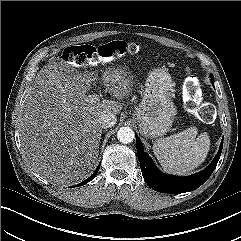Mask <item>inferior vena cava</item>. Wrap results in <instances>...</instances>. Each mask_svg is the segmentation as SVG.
Returning <instances> with one entry per match:
<instances>
[{
	"mask_svg": "<svg viewBox=\"0 0 241 241\" xmlns=\"http://www.w3.org/2000/svg\"><path fill=\"white\" fill-rule=\"evenodd\" d=\"M116 120L115 114L111 112H105L99 116V124L101 128L104 129L113 126L116 123Z\"/></svg>",
	"mask_w": 241,
	"mask_h": 241,
	"instance_id": "inferior-vena-cava-1",
	"label": "inferior vena cava"
}]
</instances>
